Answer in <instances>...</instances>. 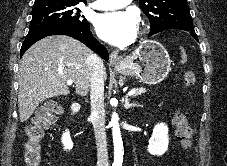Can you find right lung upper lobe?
I'll return each instance as SVG.
<instances>
[{"label":"right lung upper lobe","instance_id":"cb5924a9","mask_svg":"<svg viewBox=\"0 0 227 166\" xmlns=\"http://www.w3.org/2000/svg\"><path fill=\"white\" fill-rule=\"evenodd\" d=\"M48 2L78 4L79 2H85V0H35L34 5L48 3Z\"/></svg>","mask_w":227,"mask_h":166}]
</instances>
